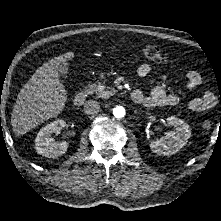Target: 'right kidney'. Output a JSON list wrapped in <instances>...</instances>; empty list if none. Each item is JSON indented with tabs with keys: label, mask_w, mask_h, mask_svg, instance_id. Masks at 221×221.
<instances>
[{
	"label": "right kidney",
	"mask_w": 221,
	"mask_h": 221,
	"mask_svg": "<svg viewBox=\"0 0 221 221\" xmlns=\"http://www.w3.org/2000/svg\"><path fill=\"white\" fill-rule=\"evenodd\" d=\"M65 126V121L56 120L43 127L35 139L37 153L48 158H55L65 154L68 149V143L66 141L54 142L52 138L53 133L59 132Z\"/></svg>",
	"instance_id": "right-kidney-1"
}]
</instances>
